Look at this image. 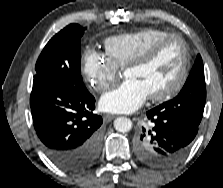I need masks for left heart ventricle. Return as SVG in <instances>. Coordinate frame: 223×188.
Returning a JSON list of instances; mask_svg holds the SVG:
<instances>
[{"instance_id": "left-heart-ventricle-1", "label": "left heart ventricle", "mask_w": 223, "mask_h": 188, "mask_svg": "<svg viewBox=\"0 0 223 188\" xmlns=\"http://www.w3.org/2000/svg\"><path fill=\"white\" fill-rule=\"evenodd\" d=\"M183 60L179 41L165 43L146 64L125 71L127 79L138 81L148 95L162 92L177 78Z\"/></svg>"}]
</instances>
